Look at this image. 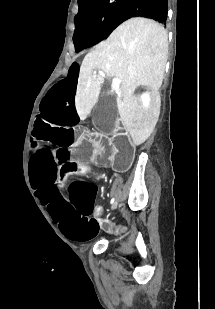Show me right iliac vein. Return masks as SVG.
<instances>
[{"label": "right iliac vein", "instance_id": "obj_1", "mask_svg": "<svg viewBox=\"0 0 215 309\" xmlns=\"http://www.w3.org/2000/svg\"><path fill=\"white\" fill-rule=\"evenodd\" d=\"M117 204H118V202H115V203L112 205V210H114V209L117 207Z\"/></svg>", "mask_w": 215, "mask_h": 309}]
</instances>
